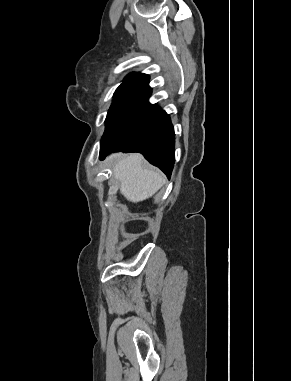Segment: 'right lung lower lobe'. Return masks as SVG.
<instances>
[{"label": "right lung lower lobe", "mask_w": 291, "mask_h": 381, "mask_svg": "<svg viewBox=\"0 0 291 381\" xmlns=\"http://www.w3.org/2000/svg\"><path fill=\"white\" fill-rule=\"evenodd\" d=\"M149 78L141 79L134 99L122 121L115 142H101L100 159L111 152H139L170 177L175 162V134L169 115L151 105Z\"/></svg>", "instance_id": "obj_1"}]
</instances>
